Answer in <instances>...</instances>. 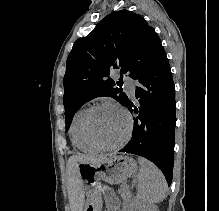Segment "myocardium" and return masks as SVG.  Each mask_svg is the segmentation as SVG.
<instances>
[{"label":"myocardium","instance_id":"myocardium-1","mask_svg":"<svg viewBox=\"0 0 219 211\" xmlns=\"http://www.w3.org/2000/svg\"><path fill=\"white\" fill-rule=\"evenodd\" d=\"M103 106H110V107L117 109L126 118L127 128H126L125 134L117 143H114V144L101 143L98 140H96L91 133V130H90L91 116L96 109L103 107ZM132 125H133V121H132L131 115L123 107H121L118 104L111 102V101H101V102L93 104L92 106H90L86 110L85 115L83 117L82 129H83V134H84L86 140L90 144L97 147L98 149L110 150V149H117V148L123 146L129 140L131 130H132Z\"/></svg>","mask_w":219,"mask_h":211}]
</instances>
